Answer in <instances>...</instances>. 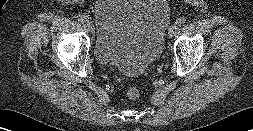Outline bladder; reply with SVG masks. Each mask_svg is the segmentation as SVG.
<instances>
[{"label": "bladder", "mask_w": 253, "mask_h": 131, "mask_svg": "<svg viewBox=\"0 0 253 131\" xmlns=\"http://www.w3.org/2000/svg\"><path fill=\"white\" fill-rule=\"evenodd\" d=\"M93 15L101 64L138 75L160 56L169 19L164 0H99Z\"/></svg>", "instance_id": "31cf9c89"}]
</instances>
